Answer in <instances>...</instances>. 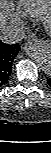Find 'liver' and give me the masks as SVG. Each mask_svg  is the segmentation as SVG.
Masks as SVG:
<instances>
[{"label": "liver", "instance_id": "6515ba94", "mask_svg": "<svg viewBox=\"0 0 51 153\" xmlns=\"http://www.w3.org/2000/svg\"><path fill=\"white\" fill-rule=\"evenodd\" d=\"M5 23H6V18L5 16L1 13V16H0V26L1 28H3L5 26Z\"/></svg>", "mask_w": 51, "mask_h": 153}]
</instances>
